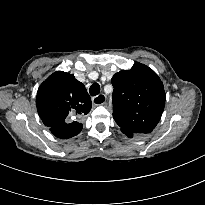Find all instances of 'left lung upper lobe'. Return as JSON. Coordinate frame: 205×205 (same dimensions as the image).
<instances>
[{"label": "left lung upper lobe", "instance_id": "5c2ea615", "mask_svg": "<svg viewBox=\"0 0 205 205\" xmlns=\"http://www.w3.org/2000/svg\"><path fill=\"white\" fill-rule=\"evenodd\" d=\"M113 118L121 130L146 134L158 124L165 105V91L158 75L136 62L112 79Z\"/></svg>", "mask_w": 205, "mask_h": 205}]
</instances>
